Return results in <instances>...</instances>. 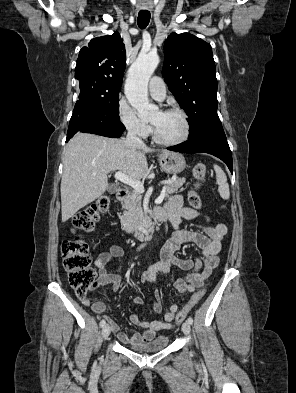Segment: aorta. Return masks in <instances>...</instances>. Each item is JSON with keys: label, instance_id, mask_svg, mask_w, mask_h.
I'll use <instances>...</instances> for the list:
<instances>
[{"label": "aorta", "instance_id": "762f6f07", "mask_svg": "<svg viewBox=\"0 0 296 393\" xmlns=\"http://www.w3.org/2000/svg\"><path fill=\"white\" fill-rule=\"evenodd\" d=\"M158 64L157 54H140L128 71L125 95L140 117L158 110V107L150 104L148 100V82Z\"/></svg>", "mask_w": 296, "mask_h": 393}]
</instances>
